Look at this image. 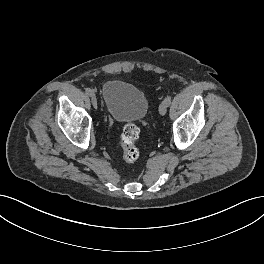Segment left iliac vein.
Segmentation results:
<instances>
[{"instance_id":"4c4485c4","label":"left iliac vein","mask_w":264,"mask_h":264,"mask_svg":"<svg viewBox=\"0 0 264 264\" xmlns=\"http://www.w3.org/2000/svg\"><path fill=\"white\" fill-rule=\"evenodd\" d=\"M167 107H168V104L165 101L161 102L159 106V113L161 115H165L167 112Z\"/></svg>"}]
</instances>
